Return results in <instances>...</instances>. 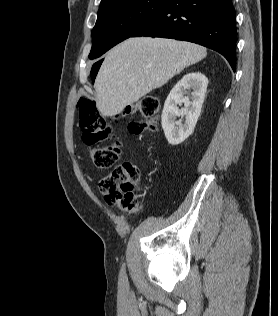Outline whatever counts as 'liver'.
<instances>
[{
    "label": "liver",
    "instance_id": "6515ba94",
    "mask_svg": "<svg viewBox=\"0 0 278 316\" xmlns=\"http://www.w3.org/2000/svg\"><path fill=\"white\" fill-rule=\"evenodd\" d=\"M206 55L205 47L186 41L151 37L125 40L106 55L97 74L94 88L100 113L119 114Z\"/></svg>",
    "mask_w": 278,
    "mask_h": 316
}]
</instances>
